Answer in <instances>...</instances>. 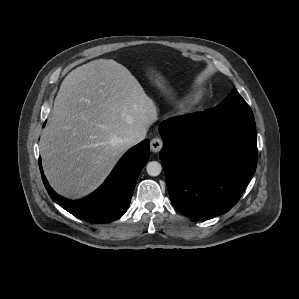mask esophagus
I'll use <instances>...</instances> for the list:
<instances>
[{"instance_id":"34e87169","label":"esophagus","mask_w":299,"mask_h":299,"mask_svg":"<svg viewBox=\"0 0 299 299\" xmlns=\"http://www.w3.org/2000/svg\"><path fill=\"white\" fill-rule=\"evenodd\" d=\"M163 147V141L160 138H153L150 142L151 151L154 153L159 152Z\"/></svg>"}]
</instances>
